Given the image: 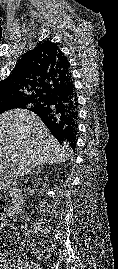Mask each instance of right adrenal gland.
<instances>
[{
    "label": "right adrenal gland",
    "mask_w": 118,
    "mask_h": 269,
    "mask_svg": "<svg viewBox=\"0 0 118 269\" xmlns=\"http://www.w3.org/2000/svg\"><path fill=\"white\" fill-rule=\"evenodd\" d=\"M42 169H43V166H38L33 172L39 173L41 172Z\"/></svg>",
    "instance_id": "2a0ac1e0"
}]
</instances>
